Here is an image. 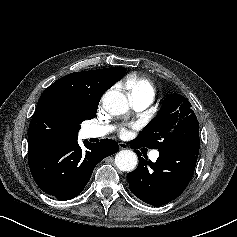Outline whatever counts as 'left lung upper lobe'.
Masks as SVG:
<instances>
[{"instance_id":"1","label":"left lung upper lobe","mask_w":237,"mask_h":237,"mask_svg":"<svg viewBox=\"0 0 237 237\" xmlns=\"http://www.w3.org/2000/svg\"><path fill=\"white\" fill-rule=\"evenodd\" d=\"M191 103L180 94H171L161 110L135 139L142 146L159 151L178 149L199 132Z\"/></svg>"}]
</instances>
